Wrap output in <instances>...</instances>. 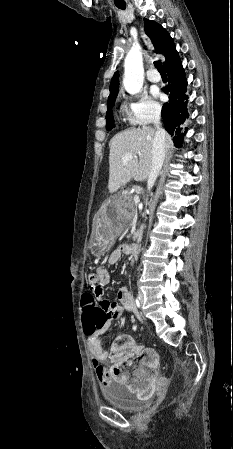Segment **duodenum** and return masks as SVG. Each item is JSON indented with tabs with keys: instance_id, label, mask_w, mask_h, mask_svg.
<instances>
[{
	"instance_id": "1",
	"label": "duodenum",
	"mask_w": 233,
	"mask_h": 449,
	"mask_svg": "<svg viewBox=\"0 0 233 449\" xmlns=\"http://www.w3.org/2000/svg\"><path fill=\"white\" fill-rule=\"evenodd\" d=\"M129 250L132 256H134L135 258H138L140 256L141 247L139 243H131L129 246Z\"/></svg>"
}]
</instances>
